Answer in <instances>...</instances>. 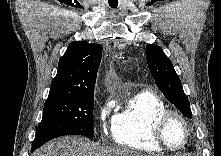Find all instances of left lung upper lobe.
<instances>
[{"label": "left lung upper lobe", "mask_w": 221, "mask_h": 156, "mask_svg": "<svg viewBox=\"0 0 221 156\" xmlns=\"http://www.w3.org/2000/svg\"><path fill=\"white\" fill-rule=\"evenodd\" d=\"M146 58L156 85L164 96L186 117L192 118L187 96L172 62L157 44L146 46Z\"/></svg>", "instance_id": "1"}]
</instances>
